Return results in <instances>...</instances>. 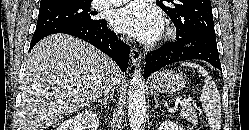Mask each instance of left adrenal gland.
Here are the masks:
<instances>
[{
    "label": "left adrenal gland",
    "instance_id": "a2214340",
    "mask_svg": "<svg viewBox=\"0 0 249 130\" xmlns=\"http://www.w3.org/2000/svg\"><path fill=\"white\" fill-rule=\"evenodd\" d=\"M154 100H155V102H156V105H155V107H154V109H153V112H155V110H156L157 108L161 109L160 106H159V102H158V100H157L156 97L154 98Z\"/></svg>",
    "mask_w": 249,
    "mask_h": 130
}]
</instances>
